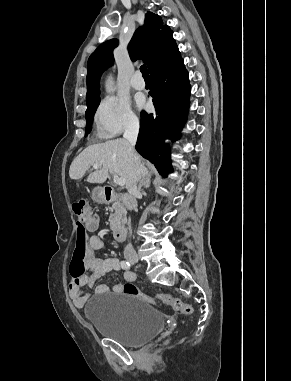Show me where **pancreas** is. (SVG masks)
Here are the masks:
<instances>
[{"label": "pancreas", "mask_w": 291, "mask_h": 381, "mask_svg": "<svg viewBox=\"0 0 291 381\" xmlns=\"http://www.w3.org/2000/svg\"><path fill=\"white\" fill-rule=\"evenodd\" d=\"M126 221V210L122 203L115 202L111 207L109 217L110 228L114 230L118 225Z\"/></svg>", "instance_id": "pancreas-1"}]
</instances>
